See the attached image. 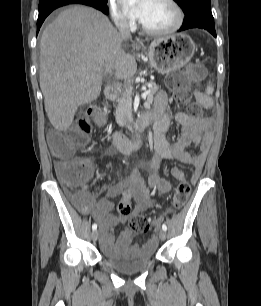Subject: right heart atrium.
Here are the masks:
<instances>
[{
	"instance_id": "d8ad5b80",
	"label": "right heart atrium",
	"mask_w": 261,
	"mask_h": 306,
	"mask_svg": "<svg viewBox=\"0 0 261 306\" xmlns=\"http://www.w3.org/2000/svg\"><path fill=\"white\" fill-rule=\"evenodd\" d=\"M109 6L115 23L122 28L129 27L132 22L121 10L117 0H109Z\"/></svg>"
}]
</instances>
